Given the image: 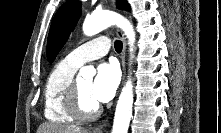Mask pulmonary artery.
Instances as JSON below:
<instances>
[{"mask_svg":"<svg viewBox=\"0 0 221 133\" xmlns=\"http://www.w3.org/2000/svg\"><path fill=\"white\" fill-rule=\"evenodd\" d=\"M109 49L110 43L105 37H98L74 49L66 55L65 59L80 67L88 61L103 57L108 53Z\"/></svg>","mask_w":221,"mask_h":133,"instance_id":"pulmonary-artery-1","label":"pulmonary artery"}]
</instances>
